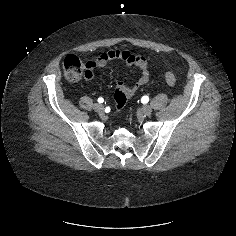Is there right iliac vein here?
<instances>
[{
	"label": "right iliac vein",
	"instance_id": "obj_1",
	"mask_svg": "<svg viewBox=\"0 0 236 236\" xmlns=\"http://www.w3.org/2000/svg\"><path fill=\"white\" fill-rule=\"evenodd\" d=\"M94 110L98 113H102L104 111V106L102 104H95Z\"/></svg>",
	"mask_w": 236,
	"mask_h": 236
}]
</instances>
